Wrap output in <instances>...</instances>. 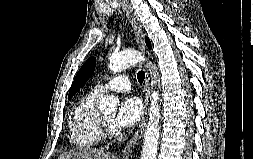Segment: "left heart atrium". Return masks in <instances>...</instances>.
<instances>
[{"label": "left heart atrium", "mask_w": 253, "mask_h": 159, "mask_svg": "<svg viewBox=\"0 0 253 159\" xmlns=\"http://www.w3.org/2000/svg\"><path fill=\"white\" fill-rule=\"evenodd\" d=\"M143 113L142 102L137 96H126L122 99L118 112L113 119L115 130L133 127L141 119Z\"/></svg>", "instance_id": "obj_1"}]
</instances>
